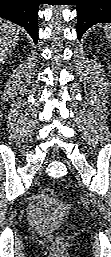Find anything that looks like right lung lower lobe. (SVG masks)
Segmentation results:
<instances>
[{"label": "right lung lower lobe", "mask_w": 111, "mask_h": 257, "mask_svg": "<svg viewBox=\"0 0 111 257\" xmlns=\"http://www.w3.org/2000/svg\"><path fill=\"white\" fill-rule=\"evenodd\" d=\"M0 17L25 28L38 40V0H0Z\"/></svg>", "instance_id": "98d812e1"}]
</instances>
